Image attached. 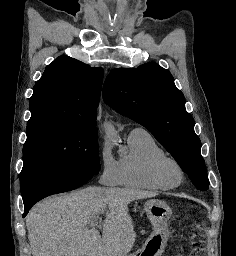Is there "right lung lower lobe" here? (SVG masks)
I'll list each match as a JSON object with an SVG mask.
<instances>
[{"label": "right lung lower lobe", "instance_id": "98d812e1", "mask_svg": "<svg viewBox=\"0 0 236 256\" xmlns=\"http://www.w3.org/2000/svg\"><path fill=\"white\" fill-rule=\"evenodd\" d=\"M90 178L86 175H77L60 180L42 183L30 188L22 194L24 214L27 215L31 207L39 200L56 193H62L76 189L85 184Z\"/></svg>", "mask_w": 236, "mask_h": 256}]
</instances>
